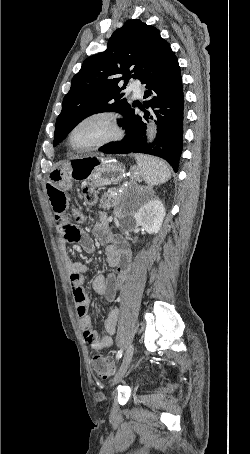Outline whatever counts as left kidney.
Instances as JSON below:
<instances>
[{
  "label": "left kidney",
  "instance_id": "obj_1",
  "mask_svg": "<svg viewBox=\"0 0 250 454\" xmlns=\"http://www.w3.org/2000/svg\"><path fill=\"white\" fill-rule=\"evenodd\" d=\"M165 208L158 198L145 203L135 214V220L147 233L156 234L165 217Z\"/></svg>",
  "mask_w": 250,
  "mask_h": 454
}]
</instances>
